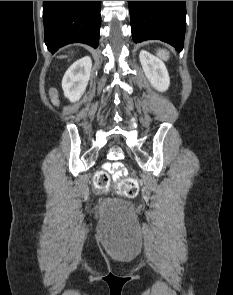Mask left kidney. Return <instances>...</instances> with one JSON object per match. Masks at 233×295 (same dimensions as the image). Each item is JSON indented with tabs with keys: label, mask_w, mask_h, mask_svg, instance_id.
<instances>
[{
	"label": "left kidney",
	"mask_w": 233,
	"mask_h": 295,
	"mask_svg": "<svg viewBox=\"0 0 233 295\" xmlns=\"http://www.w3.org/2000/svg\"><path fill=\"white\" fill-rule=\"evenodd\" d=\"M139 59L152 86L158 91H166L170 85V77L164 62L146 50L140 51Z\"/></svg>",
	"instance_id": "left-kidney-1"
}]
</instances>
